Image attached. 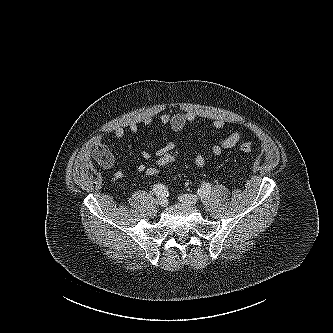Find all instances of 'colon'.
Segmentation results:
<instances>
[{"label": "colon", "mask_w": 333, "mask_h": 333, "mask_svg": "<svg viewBox=\"0 0 333 333\" xmlns=\"http://www.w3.org/2000/svg\"><path fill=\"white\" fill-rule=\"evenodd\" d=\"M239 149L244 153H250L253 150L252 144L245 142L239 146ZM177 159V152L170 151L159 157L151 164L146 166L144 174L149 177H156L164 172L169 166H171Z\"/></svg>", "instance_id": "obj_1"}]
</instances>
